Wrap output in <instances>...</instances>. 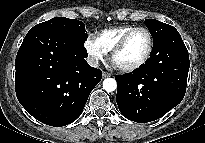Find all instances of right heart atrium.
Wrapping results in <instances>:
<instances>
[{"instance_id": "right-heart-atrium-1", "label": "right heart atrium", "mask_w": 205, "mask_h": 143, "mask_svg": "<svg viewBox=\"0 0 205 143\" xmlns=\"http://www.w3.org/2000/svg\"><path fill=\"white\" fill-rule=\"evenodd\" d=\"M84 47L91 61L94 63L102 61L106 56V52L101 48L96 39L91 36L86 38Z\"/></svg>"}]
</instances>
